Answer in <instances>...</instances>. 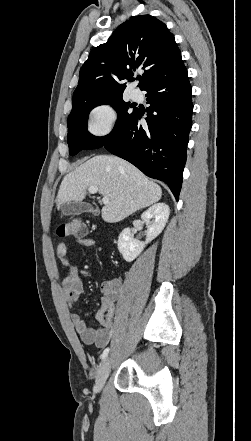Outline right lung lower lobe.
I'll return each instance as SVG.
<instances>
[{
  "instance_id": "right-lung-lower-lobe-1",
  "label": "right lung lower lobe",
  "mask_w": 251,
  "mask_h": 441,
  "mask_svg": "<svg viewBox=\"0 0 251 441\" xmlns=\"http://www.w3.org/2000/svg\"><path fill=\"white\" fill-rule=\"evenodd\" d=\"M147 92V126L139 123L143 113L136 109L128 123L102 146L165 182L176 200L182 185L188 136L192 125V88L185 66L155 79Z\"/></svg>"
}]
</instances>
